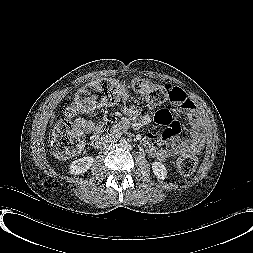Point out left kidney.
I'll use <instances>...</instances> for the list:
<instances>
[{"label": "left kidney", "instance_id": "5707ae66", "mask_svg": "<svg viewBox=\"0 0 253 253\" xmlns=\"http://www.w3.org/2000/svg\"><path fill=\"white\" fill-rule=\"evenodd\" d=\"M152 170L158 179L164 180L167 176V169L161 162H153Z\"/></svg>", "mask_w": 253, "mask_h": 253}]
</instances>
